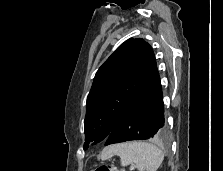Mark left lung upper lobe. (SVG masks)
I'll list each match as a JSON object with an SVG mask.
<instances>
[{
	"mask_svg": "<svg viewBox=\"0 0 223 171\" xmlns=\"http://www.w3.org/2000/svg\"><path fill=\"white\" fill-rule=\"evenodd\" d=\"M155 66L150 45L130 38L98 69L87 97L84 149L107 139Z\"/></svg>",
	"mask_w": 223,
	"mask_h": 171,
	"instance_id": "left-lung-upper-lobe-1",
	"label": "left lung upper lobe"
}]
</instances>
